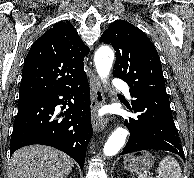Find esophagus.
<instances>
[{
    "label": "esophagus",
    "instance_id": "esophagus-1",
    "mask_svg": "<svg viewBox=\"0 0 194 178\" xmlns=\"http://www.w3.org/2000/svg\"><path fill=\"white\" fill-rule=\"evenodd\" d=\"M91 123L95 131H103L106 128V119L99 117L98 109L104 104V92L100 79L95 73L91 76Z\"/></svg>",
    "mask_w": 194,
    "mask_h": 178
}]
</instances>
